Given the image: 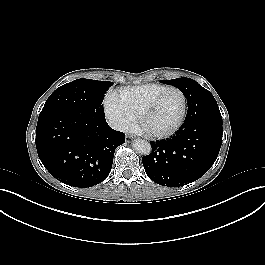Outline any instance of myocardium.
Here are the masks:
<instances>
[{"label": "myocardium", "mask_w": 265, "mask_h": 265, "mask_svg": "<svg viewBox=\"0 0 265 265\" xmlns=\"http://www.w3.org/2000/svg\"><path fill=\"white\" fill-rule=\"evenodd\" d=\"M169 91H177L182 97V111H181V115H180L178 121L176 122V124L171 129L164 131V132H152V131L146 129L145 125H144L145 119L147 118L149 113L156 107V105L158 104L160 99ZM187 109H188V102H187V97H186L185 93L178 87L168 86L165 89H163L162 91H160L149 102V104L144 108V110L140 114V117H139L140 130L149 138H153V139L168 138V137L174 135L183 125L185 118H186Z\"/></svg>", "instance_id": "f54148a6"}]
</instances>
